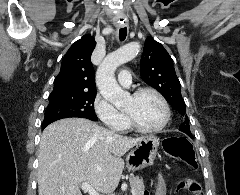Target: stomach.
I'll list each match as a JSON object with an SVG mask.
<instances>
[{"instance_id": "stomach-1", "label": "stomach", "mask_w": 240, "mask_h": 195, "mask_svg": "<svg viewBox=\"0 0 240 195\" xmlns=\"http://www.w3.org/2000/svg\"><path fill=\"white\" fill-rule=\"evenodd\" d=\"M158 145L159 141L156 135H143L142 141H139L138 145L129 151L126 157V167L131 171H136V169H143L147 165H153Z\"/></svg>"}]
</instances>
